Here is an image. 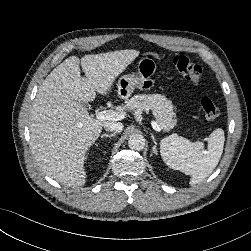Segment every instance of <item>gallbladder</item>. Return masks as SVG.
<instances>
[{"mask_svg": "<svg viewBox=\"0 0 251 251\" xmlns=\"http://www.w3.org/2000/svg\"><path fill=\"white\" fill-rule=\"evenodd\" d=\"M85 108H90V105L88 103H81Z\"/></svg>", "mask_w": 251, "mask_h": 251, "instance_id": "gallbladder-1", "label": "gallbladder"}]
</instances>
